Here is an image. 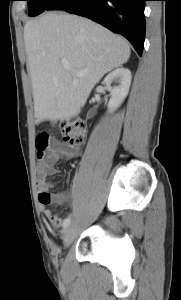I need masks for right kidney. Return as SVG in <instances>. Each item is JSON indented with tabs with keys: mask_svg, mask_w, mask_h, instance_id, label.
I'll return each instance as SVG.
<instances>
[{
	"mask_svg": "<svg viewBox=\"0 0 181 300\" xmlns=\"http://www.w3.org/2000/svg\"><path fill=\"white\" fill-rule=\"evenodd\" d=\"M131 72L126 68H117L111 71L104 79L106 89L110 92L111 98L108 103L109 112L118 108L128 95L131 84ZM116 81L118 86H111Z\"/></svg>",
	"mask_w": 181,
	"mask_h": 300,
	"instance_id": "right-kidney-1",
	"label": "right kidney"
}]
</instances>
